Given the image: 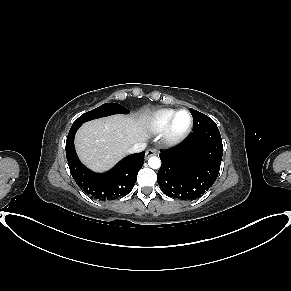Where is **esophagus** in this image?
<instances>
[{
	"label": "esophagus",
	"instance_id": "1",
	"mask_svg": "<svg viewBox=\"0 0 291 291\" xmlns=\"http://www.w3.org/2000/svg\"><path fill=\"white\" fill-rule=\"evenodd\" d=\"M156 154H157V151L155 149H148L146 151L145 157L149 158V157L156 155Z\"/></svg>",
	"mask_w": 291,
	"mask_h": 291
}]
</instances>
